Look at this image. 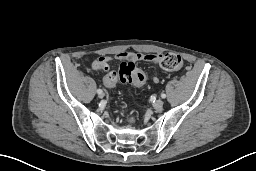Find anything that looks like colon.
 <instances>
[{"instance_id": "obj_1", "label": "colon", "mask_w": 256, "mask_h": 171, "mask_svg": "<svg viewBox=\"0 0 256 171\" xmlns=\"http://www.w3.org/2000/svg\"><path fill=\"white\" fill-rule=\"evenodd\" d=\"M160 66L165 70H178L182 66V59L179 55L174 53H166L160 56ZM97 72L108 71V65L104 60H96L92 65ZM110 79L116 83H131L134 85H143L146 81V74L143 70L136 67L134 63L124 62L120 65L117 72L109 74Z\"/></svg>"}]
</instances>
